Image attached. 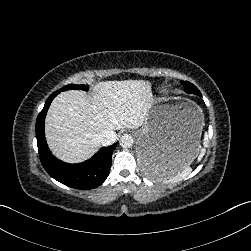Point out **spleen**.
I'll use <instances>...</instances> for the list:
<instances>
[{
  "label": "spleen",
  "mask_w": 251,
  "mask_h": 251,
  "mask_svg": "<svg viewBox=\"0 0 251 251\" xmlns=\"http://www.w3.org/2000/svg\"><path fill=\"white\" fill-rule=\"evenodd\" d=\"M209 145V139H208V134H204V140H203V146L204 148L200 149V153L198 156V161L202 159L204 156L206 150L205 148L208 147ZM192 169L190 167V164H186L182 167L181 171H178L177 173H168L164 171L163 168L153 164L149 168V174L148 177L151 179H163L164 183L168 182H178L183 180L185 177H187L191 173Z\"/></svg>",
  "instance_id": "3e777b00"
}]
</instances>
